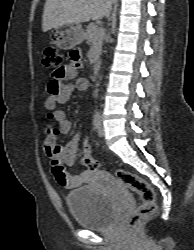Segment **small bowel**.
<instances>
[{"instance_id":"1","label":"small bowel","mask_w":194,"mask_h":250,"mask_svg":"<svg viewBox=\"0 0 194 250\" xmlns=\"http://www.w3.org/2000/svg\"><path fill=\"white\" fill-rule=\"evenodd\" d=\"M80 68V61H72L70 64L58 69L48 82L49 96L45 100V108L50 115V121L47 122L45 128L44 151L50 158L51 171L56 181L61 186L69 189L80 187L91 176L89 170H83L78 175H72L66 170V167H72L75 163L76 151L81 138L80 133L75 134L65 145L57 144V133L67 134L72 129L71 120L57 106L69 102L76 89L84 90L88 87L86 79H75ZM51 120L58 122L57 128L53 126Z\"/></svg>"}]
</instances>
